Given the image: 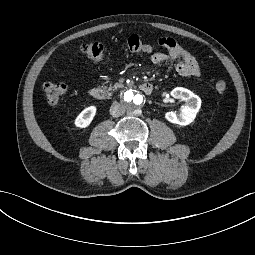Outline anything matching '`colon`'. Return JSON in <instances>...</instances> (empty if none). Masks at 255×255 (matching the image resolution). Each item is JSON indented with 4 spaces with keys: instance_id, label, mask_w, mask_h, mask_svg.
Listing matches in <instances>:
<instances>
[{
    "instance_id": "colon-1",
    "label": "colon",
    "mask_w": 255,
    "mask_h": 255,
    "mask_svg": "<svg viewBox=\"0 0 255 255\" xmlns=\"http://www.w3.org/2000/svg\"><path fill=\"white\" fill-rule=\"evenodd\" d=\"M125 48L129 52L137 54L151 53L157 49L156 46L143 42L136 35H131L125 40ZM81 51L87 58L95 62L104 61L108 54L106 47L96 41L83 44ZM226 87V83L223 80H218L215 83V89L219 93H223ZM42 89L47 103L50 106H56L60 103L67 87L64 82H46L43 84Z\"/></svg>"
}]
</instances>
